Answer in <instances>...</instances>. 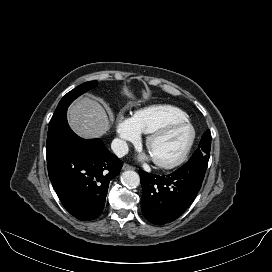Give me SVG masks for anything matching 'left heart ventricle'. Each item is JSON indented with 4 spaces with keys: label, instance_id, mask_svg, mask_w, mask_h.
I'll list each match as a JSON object with an SVG mask.
<instances>
[{
    "label": "left heart ventricle",
    "instance_id": "left-heart-ventricle-1",
    "mask_svg": "<svg viewBox=\"0 0 272 272\" xmlns=\"http://www.w3.org/2000/svg\"><path fill=\"white\" fill-rule=\"evenodd\" d=\"M189 137V130L179 126L156 139L151 147L150 154L153 159L169 161L177 157L184 149Z\"/></svg>",
    "mask_w": 272,
    "mask_h": 272
}]
</instances>
